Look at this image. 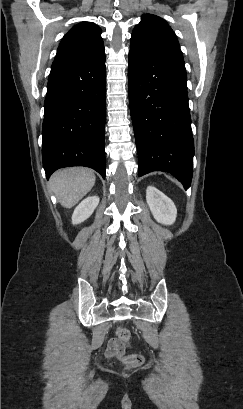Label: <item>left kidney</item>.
Here are the masks:
<instances>
[{
  "label": "left kidney",
  "mask_w": 243,
  "mask_h": 409,
  "mask_svg": "<svg viewBox=\"0 0 243 409\" xmlns=\"http://www.w3.org/2000/svg\"><path fill=\"white\" fill-rule=\"evenodd\" d=\"M146 200L155 220L164 225L175 222L177 209L173 201L154 186H148Z\"/></svg>",
  "instance_id": "5707ae66"
}]
</instances>
